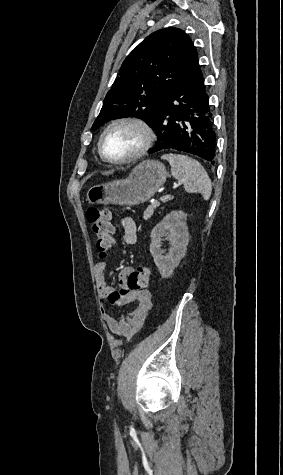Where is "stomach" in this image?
Returning <instances> with one entry per match:
<instances>
[{"instance_id":"1","label":"stomach","mask_w":283,"mask_h":475,"mask_svg":"<svg viewBox=\"0 0 283 475\" xmlns=\"http://www.w3.org/2000/svg\"><path fill=\"white\" fill-rule=\"evenodd\" d=\"M167 172L158 160H144L132 170L127 180L93 186L86 194L89 204H117L138 206L150 200L165 184Z\"/></svg>"}]
</instances>
